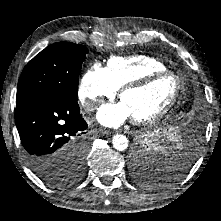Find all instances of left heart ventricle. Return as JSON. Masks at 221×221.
<instances>
[{
  "mask_svg": "<svg viewBox=\"0 0 221 221\" xmlns=\"http://www.w3.org/2000/svg\"><path fill=\"white\" fill-rule=\"evenodd\" d=\"M175 89L174 78L165 76L142 89L126 92L121 97V102L129 111L131 118H146L163 109L171 100Z\"/></svg>",
  "mask_w": 221,
  "mask_h": 221,
  "instance_id": "left-heart-ventricle-1",
  "label": "left heart ventricle"
}]
</instances>
